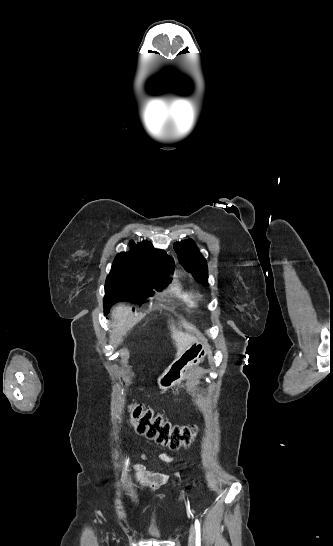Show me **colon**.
<instances>
[{
  "label": "colon",
  "mask_w": 333,
  "mask_h": 546,
  "mask_svg": "<svg viewBox=\"0 0 333 546\" xmlns=\"http://www.w3.org/2000/svg\"><path fill=\"white\" fill-rule=\"evenodd\" d=\"M129 418L138 433L170 449L189 448L193 443L196 428L172 425L140 404L129 407Z\"/></svg>",
  "instance_id": "1"
}]
</instances>
